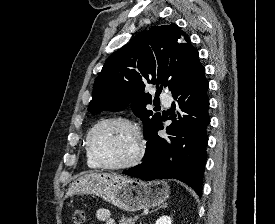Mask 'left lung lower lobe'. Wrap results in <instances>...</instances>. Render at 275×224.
I'll use <instances>...</instances> for the list:
<instances>
[{
	"label": "left lung lower lobe",
	"instance_id": "left-lung-lower-lobe-1",
	"mask_svg": "<svg viewBox=\"0 0 275 224\" xmlns=\"http://www.w3.org/2000/svg\"><path fill=\"white\" fill-rule=\"evenodd\" d=\"M205 69L202 67L172 92L182 114L178 112L167 127L171 136L161 138L162 121L144 138L147 140L144 161L124 174L146 181L153 179H178L202 194V177L205 171L209 99Z\"/></svg>",
	"mask_w": 275,
	"mask_h": 224
}]
</instances>
